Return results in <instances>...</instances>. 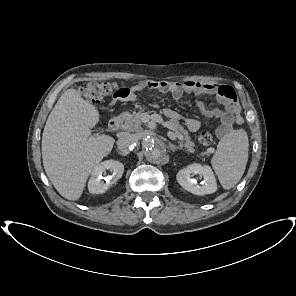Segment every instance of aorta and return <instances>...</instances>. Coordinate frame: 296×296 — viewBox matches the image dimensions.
Returning a JSON list of instances; mask_svg holds the SVG:
<instances>
[{"label": "aorta", "mask_w": 296, "mask_h": 296, "mask_svg": "<svg viewBox=\"0 0 296 296\" xmlns=\"http://www.w3.org/2000/svg\"><path fill=\"white\" fill-rule=\"evenodd\" d=\"M141 145L144 151L145 158L150 163L158 164L162 163L166 157V149L155 142L151 137L145 136Z\"/></svg>", "instance_id": "obj_1"}]
</instances>
